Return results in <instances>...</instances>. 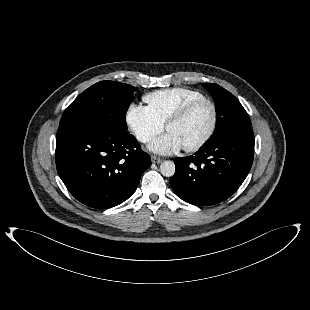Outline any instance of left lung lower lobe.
<instances>
[{
    "label": "left lung lower lobe",
    "mask_w": 310,
    "mask_h": 310,
    "mask_svg": "<svg viewBox=\"0 0 310 310\" xmlns=\"http://www.w3.org/2000/svg\"><path fill=\"white\" fill-rule=\"evenodd\" d=\"M254 134L247 128L207 144L194 156L175 159L170 179L182 200L198 206L220 203L234 194L250 171Z\"/></svg>",
    "instance_id": "left-lung-lower-lobe-1"
}]
</instances>
